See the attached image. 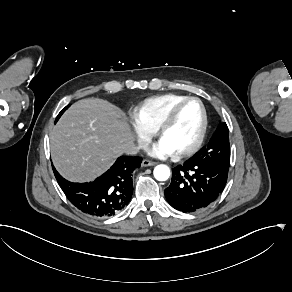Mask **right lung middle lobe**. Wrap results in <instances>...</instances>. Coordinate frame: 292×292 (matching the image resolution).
<instances>
[{
  "instance_id": "right-lung-middle-lobe-1",
  "label": "right lung middle lobe",
  "mask_w": 292,
  "mask_h": 292,
  "mask_svg": "<svg viewBox=\"0 0 292 292\" xmlns=\"http://www.w3.org/2000/svg\"><path fill=\"white\" fill-rule=\"evenodd\" d=\"M69 106H67L66 108H64L61 112H60V114L58 115V117H57V119H56V121L59 119V117L61 116V114L68 108Z\"/></svg>"
}]
</instances>
